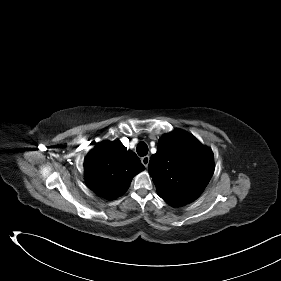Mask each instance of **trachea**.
Returning <instances> with one entry per match:
<instances>
[{"label": "trachea", "instance_id": "3493384b", "mask_svg": "<svg viewBox=\"0 0 281 281\" xmlns=\"http://www.w3.org/2000/svg\"><path fill=\"white\" fill-rule=\"evenodd\" d=\"M136 151H137L138 155L141 156V157L147 155V153H148L147 144L145 142H140L137 145Z\"/></svg>", "mask_w": 281, "mask_h": 281}]
</instances>
